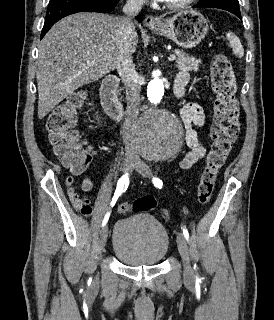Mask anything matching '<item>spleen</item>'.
<instances>
[{
	"label": "spleen",
	"mask_w": 274,
	"mask_h": 320,
	"mask_svg": "<svg viewBox=\"0 0 274 320\" xmlns=\"http://www.w3.org/2000/svg\"><path fill=\"white\" fill-rule=\"evenodd\" d=\"M226 38L233 50V54H235V56H238V58H242V56H244V48L239 38H237V36H235L233 32H228V34H226Z\"/></svg>",
	"instance_id": "3e777b00"
}]
</instances>
